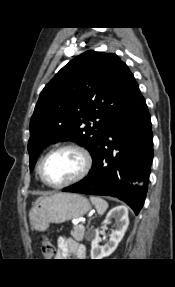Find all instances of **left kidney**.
Segmentation results:
<instances>
[{
  "instance_id": "1",
  "label": "left kidney",
  "mask_w": 175,
  "mask_h": 287,
  "mask_svg": "<svg viewBox=\"0 0 175 287\" xmlns=\"http://www.w3.org/2000/svg\"><path fill=\"white\" fill-rule=\"evenodd\" d=\"M111 219H115L117 227L112 230L109 241L104 245L98 244V239L95 238L91 242V259H103L111 255L117 248L120 241L123 239L124 234L129 225L128 210L125 206H116L112 208L106 215L103 225L110 224ZM96 235L99 234V229H96Z\"/></svg>"
}]
</instances>
